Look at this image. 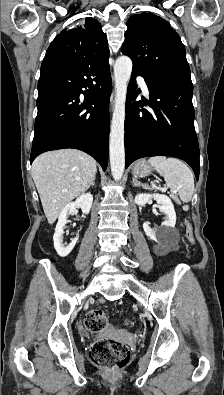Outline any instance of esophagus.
Returning <instances> with one entry per match:
<instances>
[{"mask_svg": "<svg viewBox=\"0 0 224 395\" xmlns=\"http://www.w3.org/2000/svg\"><path fill=\"white\" fill-rule=\"evenodd\" d=\"M110 107H111V110H113V107H114V99H113V97L111 98V101H110Z\"/></svg>", "mask_w": 224, "mask_h": 395, "instance_id": "34e87169", "label": "esophagus"}]
</instances>
